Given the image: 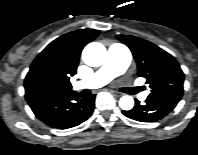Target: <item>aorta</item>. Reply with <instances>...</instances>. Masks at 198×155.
Masks as SVG:
<instances>
[{"instance_id":"1","label":"aorta","mask_w":198,"mask_h":155,"mask_svg":"<svg viewBox=\"0 0 198 155\" xmlns=\"http://www.w3.org/2000/svg\"><path fill=\"white\" fill-rule=\"evenodd\" d=\"M107 52L103 44L92 42L86 45L82 52L83 61L92 67L101 66L106 60ZM119 106L123 110H131L134 106V99L132 96L125 95L119 100Z\"/></svg>"}]
</instances>
